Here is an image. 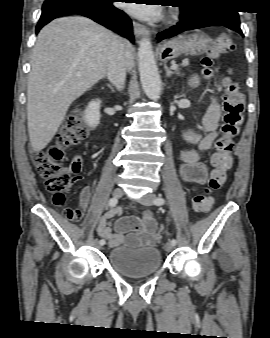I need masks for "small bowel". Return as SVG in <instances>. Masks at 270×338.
<instances>
[{"mask_svg":"<svg viewBox=\"0 0 270 338\" xmlns=\"http://www.w3.org/2000/svg\"><path fill=\"white\" fill-rule=\"evenodd\" d=\"M192 87L199 85V78L193 77L190 81ZM221 115V108L219 103L213 99L207 107V111L202 121V129L208 134L201 138L198 131L189 130L185 132L184 139L190 143H197L201 151L210 149L214 139L217 137V127ZM182 165L180 167V174L187 182L204 183L207 175V167L201 161L200 154L195 150H184L181 152ZM81 158L79 155L73 157V165L80 169ZM91 187H84L79 194V204L83 212L87 210L91 202ZM81 213V212H80ZM118 214L117 210H112L103 215L97 227L99 235L107 239L113 245L120 244H135L140 242L142 244L153 246L161 237L157 230V224L151 213L147 212L140 219L138 217L130 216L124 217L133 222L140 224L139 228L127 229L122 222H113V218ZM83 218L81 213L79 220ZM115 230V231H114Z\"/></svg>","mask_w":270,"mask_h":338,"instance_id":"c3829d8e","label":"small bowel"}]
</instances>
